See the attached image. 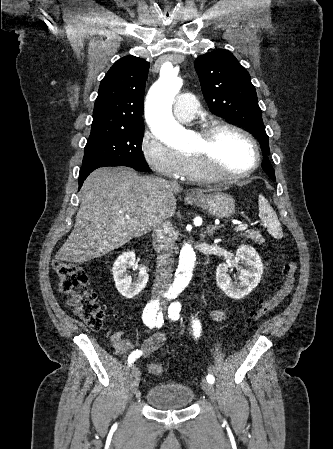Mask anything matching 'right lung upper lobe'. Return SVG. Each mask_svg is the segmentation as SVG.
Instances as JSON below:
<instances>
[{"instance_id":"obj_1","label":"right lung upper lobe","mask_w":333,"mask_h":449,"mask_svg":"<svg viewBox=\"0 0 333 449\" xmlns=\"http://www.w3.org/2000/svg\"><path fill=\"white\" fill-rule=\"evenodd\" d=\"M149 66V62L135 56H125L114 63L100 83L91 130L143 125V96Z\"/></svg>"}]
</instances>
